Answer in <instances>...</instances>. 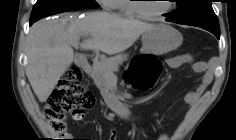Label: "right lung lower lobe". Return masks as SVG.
Instances as JSON below:
<instances>
[{"label": "right lung lower lobe", "instance_id": "1", "mask_svg": "<svg viewBox=\"0 0 236 140\" xmlns=\"http://www.w3.org/2000/svg\"><path fill=\"white\" fill-rule=\"evenodd\" d=\"M34 22L33 21H30V25H32Z\"/></svg>", "mask_w": 236, "mask_h": 140}]
</instances>
